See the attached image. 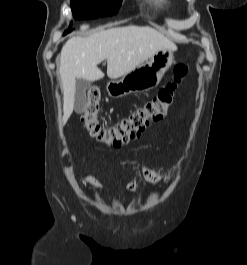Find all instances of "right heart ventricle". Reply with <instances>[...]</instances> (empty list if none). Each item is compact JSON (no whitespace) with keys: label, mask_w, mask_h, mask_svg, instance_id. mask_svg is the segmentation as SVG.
<instances>
[{"label":"right heart ventricle","mask_w":247,"mask_h":265,"mask_svg":"<svg viewBox=\"0 0 247 265\" xmlns=\"http://www.w3.org/2000/svg\"><path fill=\"white\" fill-rule=\"evenodd\" d=\"M152 2L156 5H164L166 4V0H152Z\"/></svg>","instance_id":"1"}]
</instances>
